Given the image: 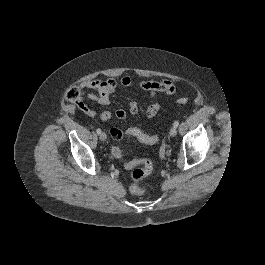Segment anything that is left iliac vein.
Here are the masks:
<instances>
[{
    "label": "left iliac vein",
    "mask_w": 265,
    "mask_h": 265,
    "mask_svg": "<svg viewBox=\"0 0 265 265\" xmlns=\"http://www.w3.org/2000/svg\"><path fill=\"white\" fill-rule=\"evenodd\" d=\"M169 134H170V136L175 137L176 134H177V129H176V127H172V128L170 129V131H169Z\"/></svg>",
    "instance_id": "4c4485c4"
}]
</instances>
